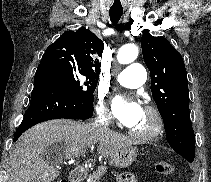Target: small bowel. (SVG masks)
I'll list each match as a JSON object with an SVG mask.
<instances>
[{"mask_svg":"<svg viewBox=\"0 0 211 182\" xmlns=\"http://www.w3.org/2000/svg\"><path fill=\"white\" fill-rule=\"evenodd\" d=\"M118 182H138L135 177L129 173L120 174L118 177Z\"/></svg>","mask_w":211,"mask_h":182,"instance_id":"c3829d8e","label":"small bowel"}]
</instances>
